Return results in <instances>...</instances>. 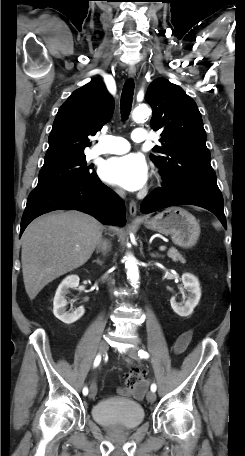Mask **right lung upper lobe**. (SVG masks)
Here are the masks:
<instances>
[{
    "label": "right lung upper lobe",
    "mask_w": 245,
    "mask_h": 456,
    "mask_svg": "<svg viewBox=\"0 0 245 456\" xmlns=\"http://www.w3.org/2000/svg\"><path fill=\"white\" fill-rule=\"evenodd\" d=\"M114 101L100 79L75 90L58 110L43 167L85 156L93 136L113 114Z\"/></svg>",
    "instance_id": "obj_1"
}]
</instances>
